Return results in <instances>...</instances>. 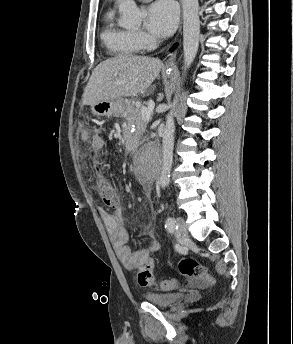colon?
I'll return each instance as SVG.
<instances>
[{"label": "colon", "instance_id": "obj_1", "mask_svg": "<svg viewBox=\"0 0 293 344\" xmlns=\"http://www.w3.org/2000/svg\"><path fill=\"white\" fill-rule=\"evenodd\" d=\"M99 193L104 204L110 208H116L121 203V196L118 191L112 186L106 177L98 179ZM180 273L192 279L193 281L209 280L207 270L204 265L193 258H183L178 264ZM154 261L148 259L145 264L138 270L137 281L140 286H160L163 289H173L177 287V282L174 280L164 281L157 284L153 275Z\"/></svg>", "mask_w": 293, "mask_h": 344}]
</instances>
